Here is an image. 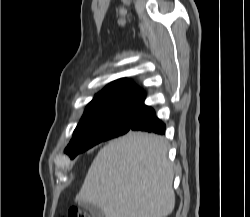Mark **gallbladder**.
Segmentation results:
<instances>
[{
    "label": "gallbladder",
    "mask_w": 250,
    "mask_h": 217,
    "mask_svg": "<svg viewBox=\"0 0 250 217\" xmlns=\"http://www.w3.org/2000/svg\"><path fill=\"white\" fill-rule=\"evenodd\" d=\"M79 206L87 210L91 214V217H104L103 211L96 205H92L85 202H79Z\"/></svg>",
    "instance_id": "obj_1"
}]
</instances>
